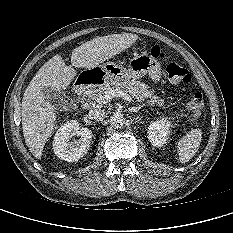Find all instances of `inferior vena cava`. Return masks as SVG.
Segmentation results:
<instances>
[{
	"instance_id": "inferior-vena-cava-1",
	"label": "inferior vena cava",
	"mask_w": 233,
	"mask_h": 233,
	"mask_svg": "<svg viewBox=\"0 0 233 233\" xmlns=\"http://www.w3.org/2000/svg\"><path fill=\"white\" fill-rule=\"evenodd\" d=\"M106 117V112L103 109H92L89 112V118L96 121H103Z\"/></svg>"
}]
</instances>
